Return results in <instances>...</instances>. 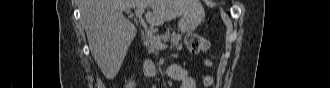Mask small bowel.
Masks as SVG:
<instances>
[{"label": "small bowel", "mask_w": 330, "mask_h": 88, "mask_svg": "<svg viewBox=\"0 0 330 88\" xmlns=\"http://www.w3.org/2000/svg\"><path fill=\"white\" fill-rule=\"evenodd\" d=\"M165 76L169 79L180 82V88H195V80L190 76L188 70L178 64L165 68Z\"/></svg>", "instance_id": "c3829d8e"}]
</instances>
